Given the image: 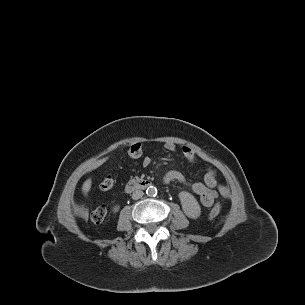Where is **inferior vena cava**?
<instances>
[{
  "mask_svg": "<svg viewBox=\"0 0 305 305\" xmlns=\"http://www.w3.org/2000/svg\"><path fill=\"white\" fill-rule=\"evenodd\" d=\"M143 195H144L143 191H141V190H136V191L133 192L132 198H133L134 200H138V199H140Z\"/></svg>",
  "mask_w": 305,
  "mask_h": 305,
  "instance_id": "602c4592",
  "label": "inferior vena cava"
}]
</instances>
